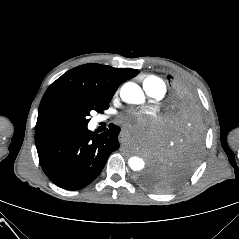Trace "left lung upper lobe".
<instances>
[{"label":"left lung upper lobe","mask_w":239,"mask_h":239,"mask_svg":"<svg viewBox=\"0 0 239 239\" xmlns=\"http://www.w3.org/2000/svg\"><path fill=\"white\" fill-rule=\"evenodd\" d=\"M171 84L167 111L168 139L142 183L159 193H167L184 183L200 160L204 144V122L193 119L203 109L197 93L185 81L168 75ZM203 120V119H202Z\"/></svg>","instance_id":"obj_1"}]
</instances>
